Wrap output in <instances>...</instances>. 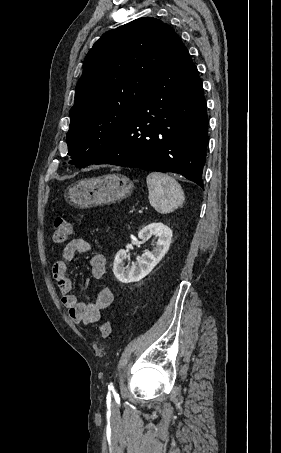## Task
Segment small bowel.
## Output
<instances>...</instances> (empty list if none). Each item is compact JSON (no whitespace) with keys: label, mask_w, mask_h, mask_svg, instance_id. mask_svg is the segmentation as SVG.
<instances>
[{"label":"small bowel","mask_w":281,"mask_h":453,"mask_svg":"<svg viewBox=\"0 0 281 453\" xmlns=\"http://www.w3.org/2000/svg\"><path fill=\"white\" fill-rule=\"evenodd\" d=\"M89 251L90 244L86 239L74 238L64 247L62 259L56 260L52 265V275L58 284L62 303L68 311L70 320L75 324L97 323L102 310L114 299L113 293L108 288L98 290L96 300L92 303H82L72 293L67 261L72 260L76 254H85ZM89 269L92 278L98 280L104 278L106 273L104 255L93 254L89 260Z\"/></svg>","instance_id":"1"}]
</instances>
